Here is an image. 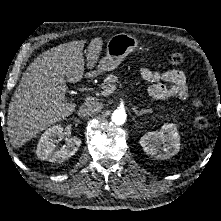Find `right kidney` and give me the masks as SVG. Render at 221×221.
Returning a JSON list of instances; mask_svg holds the SVG:
<instances>
[{
	"label": "right kidney",
	"mask_w": 221,
	"mask_h": 221,
	"mask_svg": "<svg viewBox=\"0 0 221 221\" xmlns=\"http://www.w3.org/2000/svg\"><path fill=\"white\" fill-rule=\"evenodd\" d=\"M63 134V128L60 125L52 126L41 136L37 145L36 154L38 158L49 162L61 163L72 157L81 145V139L74 136L66 140V143L60 148H56V138Z\"/></svg>",
	"instance_id": "1"
}]
</instances>
